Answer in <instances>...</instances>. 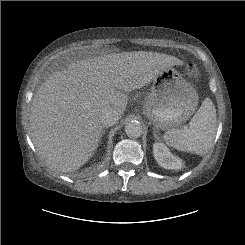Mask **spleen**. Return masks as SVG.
<instances>
[{"label": "spleen", "mask_w": 245, "mask_h": 245, "mask_svg": "<svg viewBox=\"0 0 245 245\" xmlns=\"http://www.w3.org/2000/svg\"><path fill=\"white\" fill-rule=\"evenodd\" d=\"M216 130V109L211 99L206 98L189 122V127L170 129L163 140L177 150L204 155L212 146Z\"/></svg>", "instance_id": "spleen-1"}]
</instances>
